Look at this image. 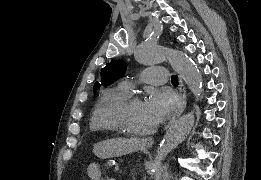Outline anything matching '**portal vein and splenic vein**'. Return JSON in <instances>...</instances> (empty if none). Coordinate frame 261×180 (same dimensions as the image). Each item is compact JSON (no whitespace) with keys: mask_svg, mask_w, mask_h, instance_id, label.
Listing matches in <instances>:
<instances>
[{"mask_svg":"<svg viewBox=\"0 0 261 180\" xmlns=\"http://www.w3.org/2000/svg\"><path fill=\"white\" fill-rule=\"evenodd\" d=\"M113 169L115 170V172H118V170H121V165H114Z\"/></svg>","mask_w":261,"mask_h":180,"instance_id":"obj_1","label":"portal vein and splenic vein"}]
</instances>
